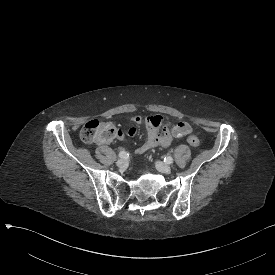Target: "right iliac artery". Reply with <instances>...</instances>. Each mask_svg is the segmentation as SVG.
I'll use <instances>...</instances> for the list:
<instances>
[{
    "instance_id": "82829eb1",
    "label": "right iliac artery",
    "mask_w": 275,
    "mask_h": 275,
    "mask_svg": "<svg viewBox=\"0 0 275 275\" xmlns=\"http://www.w3.org/2000/svg\"><path fill=\"white\" fill-rule=\"evenodd\" d=\"M127 155H128V153H127L125 150H122V151H120V153H119V157H120V158H126Z\"/></svg>"
}]
</instances>
